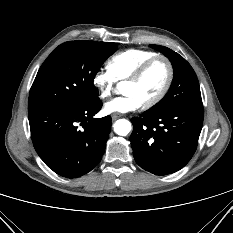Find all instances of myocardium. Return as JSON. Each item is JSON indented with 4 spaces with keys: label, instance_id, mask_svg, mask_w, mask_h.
I'll list each match as a JSON object with an SVG mask.
<instances>
[{
    "label": "myocardium",
    "instance_id": "myocardium-1",
    "mask_svg": "<svg viewBox=\"0 0 233 233\" xmlns=\"http://www.w3.org/2000/svg\"><path fill=\"white\" fill-rule=\"evenodd\" d=\"M157 60H163L168 68V76H167V80L162 88V90L160 91V93L153 98L152 100L145 102L142 104L143 108L149 109L152 108L156 105H158L167 95V93L169 92L173 80H174V67L173 64L171 62V60L165 56V55H155L149 59H147L145 62H143L136 70L135 72L125 80L126 83H137L141 80V78L143 77L144 73L147 71V69Z\"/></svg>",
    "mask_w": 233,
    "mask_h": 233
}]
</instances>
